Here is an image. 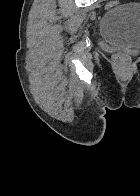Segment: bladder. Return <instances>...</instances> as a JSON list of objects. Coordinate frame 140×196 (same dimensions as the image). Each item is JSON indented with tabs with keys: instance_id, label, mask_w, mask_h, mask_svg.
<instances>
[{
	"instance_id": "31cf9c89",
	"label": "bladder",
	"mask_w": 140,
	"mask_h": 196,
	"mask_svg": "<svg viewBox=\"0 0 140 196\" xmlns=\"http://www.w3.org/2000/svg\"><path fill=\"white\" fill-rule=\"evenodd\" d=\"M101 35L109 43L140 48V4L124 3L105 12Z\"/></svg>"
}]
</instances>
